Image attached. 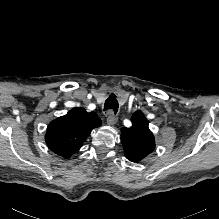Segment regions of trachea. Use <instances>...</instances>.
Instances as JSON below:
<instances>
[{"label":"trachea","mask_w":219,"mask_h":219,"mask_svg":"<svg viewBox=\"0 0 219 219\" xmlns=\"http://www.w3.org/2000/svg\"><path fill=\"white\" fill-rule=\"evenodd\" d=\"M104 109L106 111H113L114 114L118 111V101L116 99L115 94H110V96L106 99Z\"/></svg>","instance_id":"trachea-1"}]
</instances>
